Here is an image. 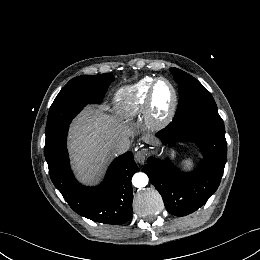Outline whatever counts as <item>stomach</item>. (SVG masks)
Listing matches in <instances>:
<instances>
[{"label": "stomach", "mask_w": 260, "mask_h": 260, "mask_svg": "<svg viewBox=\"0 0 260 260\" xmlns=\"http://www.w3.org/2000/svg\"><path fill=\"white\" fill-rule=\"evenodd\" d=\"M175 155H176L175 151H172L171 156L175 157Z\"/></svg>", "instance_id": "obj_1"}]
</instances>
